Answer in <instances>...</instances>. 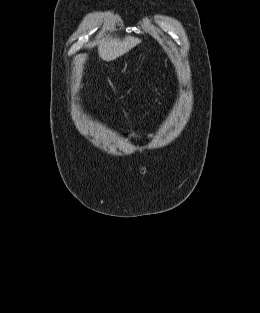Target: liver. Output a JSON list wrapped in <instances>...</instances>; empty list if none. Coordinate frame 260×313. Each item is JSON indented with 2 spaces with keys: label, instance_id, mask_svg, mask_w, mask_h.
<instances>
[{
  "label": "liver",
  "instance_id": "1",
  "mask_svg": "<svg viewBox=\"0 0 260 313\" xmlns=\"http://www.w3.org/2000/svg\"><path fill=\"white\" fill-rule=\"evenodd\" d=\"M138 43H140V40L131 36H127L123 40L110 38L100 45L98 49L99 56L104 61L110 62L128 52Z\"/></svg>",
  "mask_w": 260,
  "mask_h": 313
}]
</instances>
